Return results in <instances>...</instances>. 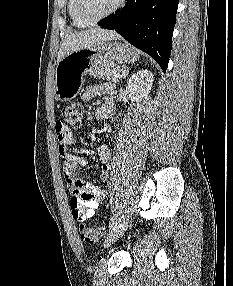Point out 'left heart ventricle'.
<instances>
[{"label": "left heart ventricle", "mask_w": 233, "mask_h": 286, "mask_svg": "<svg viewBox=\"0 0 233 286\" xmlns=\"http://www.w3.org/2000/svg\"><path fill=\"white\" fill-rule=\"evenodd\" d=\"M118 0H84V11L89 17H97L111 9Z\"/></svg>", "instance_id": "obj_1"}]
</instances>
